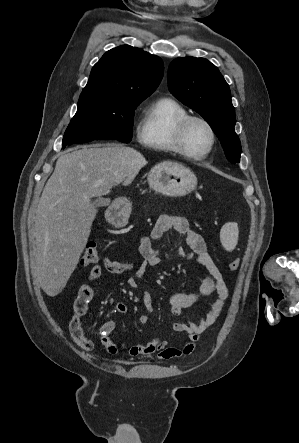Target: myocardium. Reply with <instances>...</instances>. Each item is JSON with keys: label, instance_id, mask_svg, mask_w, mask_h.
<instances>
[{"label": "myocardium", "instance_id": "myocardium-1", "mask_svg": "<svg viewBox=\"0 0 299 443\" xmlns=\"http://www.w3.org/2000/svg\"><path fill=\"white\" fill-rule=\"evenodd\" d=\"M193 121H199L203 123L207 129L209 130L211 136V142L208 149L201 154H194L188 151L185 145V134L189 124ZM216 132L212 126V124L204 117L199 115H187L183 117L177 124L174 134V142L177 149V152L183 155L186 158L193 160H201L206 158L214 149L216 144Z\"/></svg>", "mask_w": 299, "mask_h": 443}]
</instances>
